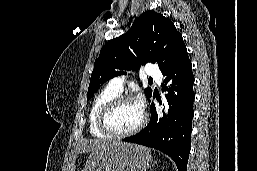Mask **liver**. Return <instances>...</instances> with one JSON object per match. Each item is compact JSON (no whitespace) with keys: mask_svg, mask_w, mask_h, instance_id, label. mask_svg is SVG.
<instances>
[{"mask_svg":"<svg viewBox=\"0 0 257 171\" xmlns=\"http://www.w3.org/2000/svg\"><path fill=\"white\" fill-rule=\"evenodd\" d=\"M112 141H102V140H86L82 143V145L78 148L77 153L81 151H95L99 150L101 148L107 147L110 144H113ZM76 153V154H77ZM76 154L72 157L71 162L69 163V170L68 171H74L75 170V158Z\"/></svg>","mask_w":257,"mask_h":171,"instance_id":"6515ba94","label":"liver"}]
</instances>
